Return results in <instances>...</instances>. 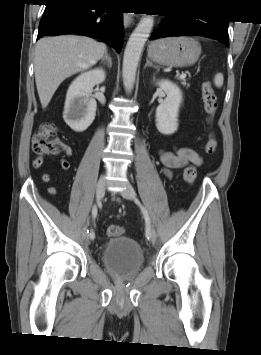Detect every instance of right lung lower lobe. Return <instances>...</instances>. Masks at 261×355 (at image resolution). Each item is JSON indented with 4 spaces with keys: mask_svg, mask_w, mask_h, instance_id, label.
Returning <instances> with one entry per match:
<instances>
[{
    "mask_svg": "<svg viewBox=\"0 0 261 355\" xmlns=\"http://www.w3.org/2000/svg\"><path fill=\"white\" fill-rule=\"evenodd\" d=\"M46 9L39 24L37 39L46 35L82 34L99 38L118 52L122 48V12L101 9L86 0H45Z\"/></svg>",
    "mask_w": 261,
    "mask_h": 355,
    "instance_id": "right-lung-lower-lobe-1",
    "label": "right lung lower lobe"
}]
</instances>
